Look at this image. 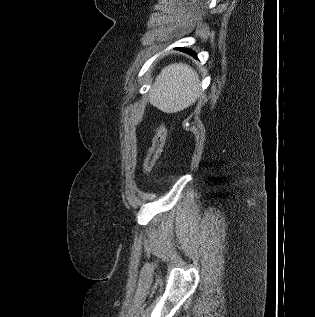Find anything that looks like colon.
<instances>
[{"mask_svg": "<svg viewBox=\"0 0 315 317\" xmlns=\"http://www.w3.org/2000/svg\"><path fill=\"white\" fill-rule=\"evenodd\" d=\"M167 127L165 122L160 123L157 134L155 135L152 146L149 149L143 165V174L148 176L155 168L157 161L163 151L166 142Z\"/></svg>", "mask_w": 315, "mask_h": 317, "instance_id": "5ec220e1", "label": "colon"}]
</instances>
